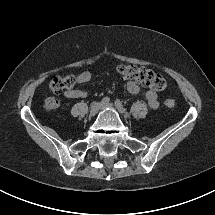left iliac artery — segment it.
Segmentation results:
<instances>
[{
	"instance_id": "obj_1",
	"label": "left iliac artery",
	"mask_w": 215,
	"mask_h": 215,
	"mask_svg": "<svg viewBox=\"0 0 215 215\" xmlns=\"http://www.w3.org/2000/svg\"><path fill=\"white\" fill-rule=\"evenodd\" d=\"M115 106L117 107V109L123 111V112H126V109L123 107V104L120 100H116L115 101Z\"/></svg>"
}]
</instances>
